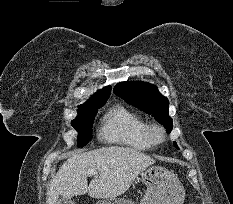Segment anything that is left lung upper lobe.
Instances as JSON below:
<instances>
[{
  "mask_svg": "<svg viewBox=\"0 0 233 204\" xmlns=\"http://www.w3.org/2000/svg\"><path fill=\"white\" fill-rule=\"evenodd\" d=\"M113 91L127 103L152 114L166 128L167 133L171 132L173 124L168 113L169 101L156 86L141 81L121 82L114 87ZM174 145L178 149L175 142Z\"/></svg>",
  "mask_w": 233,
  "mask_h": 204,
  "instance_id": "1",
  "label": "left lung upper lobe"
}]
</instances>
